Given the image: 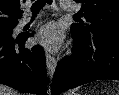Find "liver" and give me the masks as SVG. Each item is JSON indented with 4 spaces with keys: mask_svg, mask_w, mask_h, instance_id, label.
I'll return each mask as SVG.
<instances>
[{
    "mask_svg": "<svg viewBox=\"0 0 119 95\" xmlns=\"http://www.w3.org/2000/svg\"><path fill=\"white\" fill-rule=\"evenodd\" d=\"M0 95H19V93L8 86L0 84Z\"/></svg>",
    "mask_w": 119,
    "mask_h": 95,
    "instance_id": "obj_1",
    "label": "liver"
}]
</instances>
